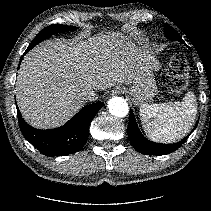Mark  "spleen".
Instances as JSON below:
<instances>
[{"label": "spleen", "mask_w": 211, "mask_h": 211, "mask_svg": "<svg viewBox=\"0 0 211 211\" xmlns=\"http://www.w3.org/2000/svg\"><path fill=\"white\" fill-rule=\"evenodd\" d=\"M196 112V97L193 92H188L181 102L142 104L140 119L144 131L152 140L172 143L189 133Z\"/></svg>", "instance_id": "3e777b00"}]
</instances>
